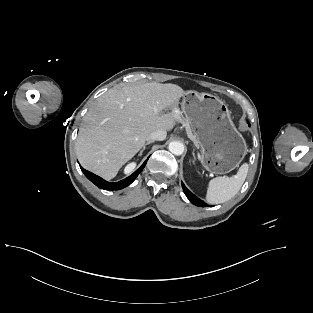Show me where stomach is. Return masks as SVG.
Here are the masks:
<instances>
[{
	"mask_svg": "<svg viewBox=\"0 0 313 313\" xmlns=\"http://www.w3.org/2000/svg\"><path fill=\"white\" fill-rule=\"evenodd\" d=\"M182 113L201 148L203 167L214 174L235 169L247 153V144L232 122L227 105L214 95L188 91Z\"/></svg>",
	"mask_w": 313,
	"mask_h": 313,
	"instance_id": "0dacf381",
	"label": "stomach"
}]
</instances>
